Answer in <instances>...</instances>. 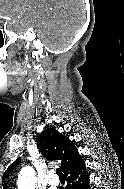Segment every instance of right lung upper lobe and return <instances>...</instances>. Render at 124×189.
Returning a JSON list of instances; mask_svg holds the SVG:
<instances>
[{
  "label": "right lung upper lobe",
  "mask_w": 124,
  "mask_h": 189,
  "mask_svg": "<svg viewBox=\"0 0 124 189\" xmlns=\"http://www.w3.org/2000/svg\"><path fill=\"white\" fill-rule=\"evenodd\" d=\"M37 144L44 157L48 160H59L61 162L60 168L64 173L83 160L74 143L54 128H47L42 131L38 136ZM19 162L20 158L7 168L2 180L8 177ZM3 189H7L6 183L3 184Z\"/></svg>",
  "instance_id": "right-lung-upper-lobe-1"
}]
</instances>
